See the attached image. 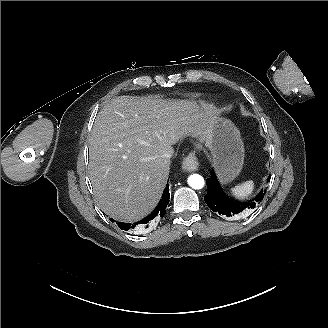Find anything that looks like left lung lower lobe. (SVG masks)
Here are the masks:
<instances>
[{
    "mask_svg": "<svg viewBox=\"0 0 328 328\" xmlns=\"http://www.w3.org/2000/svg\"><path fill=\"white\" fill-rule=\"evenodd\" d=\"M210 175L211 176L206 180L208 192L204 200L212 211L226 217H236L238 214L248 213L255 208L257 202L261 201L265 192L262 190L253 200L247 202H240L235 199L232 200L222 191L214 171H211Z\"/></svg>",
    "mask_w": 328,
    "mask_h": 328,
    "instance_id": "0a47b994",
    "label": "left lung lower lobe"
}]
</instances>
